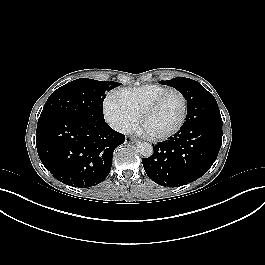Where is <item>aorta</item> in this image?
<instances>
[{
    "mask_svg": "<svg viewBox=\"0 0 265 265\" xmlns=\"http://www.w3.org/2000/svg\"><path fill=\"white\" fill-rule=\"evenodd\" d=\"M136 152H138L143 157H150L153 154V147L150 143L145 141H139L136 143Z\"/></svg>",
    "mask_w": 265,
    "mask_h": 265,
    "instance_id": "aorta-1",
    "label": "aorta"
}]
</instances>
